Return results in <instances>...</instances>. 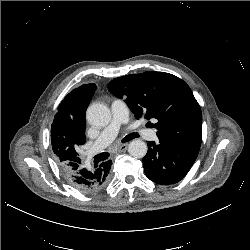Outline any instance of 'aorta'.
I'll return each mask as SVG.
<instances>
[{"label": "aorta", "mask_w": 250, "mask_h": 250, "mask_svg": "<svg viewBox=\"0 0 250 250\" xmlns=\"http://www.w3.org/2000/svg\"><path fill=\"white\" fill-rule=\"evenodd\" d=\"M88 122L96 127H104L111 121L110 109L101 103H93L87 109ZM147 144L139 139L130 142L128 152L135 158H143L147 153Z\"/></svg>", "instance_id": "1"}]
</instances>
